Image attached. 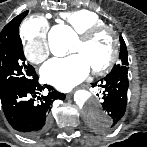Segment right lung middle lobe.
<instances>
[{"instance_id": "right-lung-middle-lobe-1", "label": "right lung middle lobe", "mask_w": 147, "mask_h": 147, "mask_svg": "<svg viewBox=\"0 0 147 147\" xmlns=\"http://www.w3.org/2000/svg\"><path fill=\"white\" fill-rule=\"evenodd\" d=\"M28 11L11 20L0 33V92L26 85L35 69L25 62L19 25Z\"/></svg>"}]
</instances>
